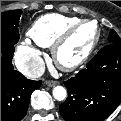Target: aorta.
Returning <instances> with one entry per match:
<instances>
[{"label":"aorta","instance_id":"1","mask_svg":"<svg viewBox=\"0 0 121 121\" xmlns=\"http://www.w3.org/2000/svg\"><path fill=\"white\" fill-rule=\"evenodd\" d=\"M66 90L64 87L62 86H56L53 89V97L58 100V101H62L66 98Z\"/></svg>","mask_w":121,"mask_h":121}]
</instances>
